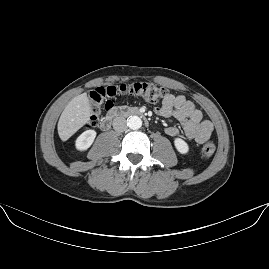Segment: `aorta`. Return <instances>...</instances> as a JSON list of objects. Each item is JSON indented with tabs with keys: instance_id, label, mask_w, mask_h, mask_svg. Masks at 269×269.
<instances>
[{
	"instance_id": "aorta-1",
	"label": "aorta",
	"mask_w": 269,
	"mask_h": 269,
	"mask_svg": "<svg viewBox=\"0 0 269 269\" xmlns=\"http://www.w3.org/2000/svg\"><path fill=\"white\" fill-rule=\"evenodd\" d=\"M127 124L131 129H139L142 126V120L138 116H130L127 120Z\"/></svg>"
}]
</instances>
